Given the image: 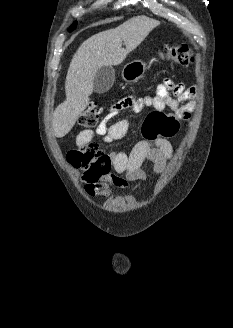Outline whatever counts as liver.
<instances>
[{
    "mask_svg": "<svg viewBox=\"0 0 233 328\" xmlns=\"http://www.w3.org/2000/svg\"><path fill=\"white\" fill-rule=\"evenodd\" d=\"M158 25L146 17H135L117 28L91 36L80 45L67 72L66 99L53 113L52 126L57 138L68 134L86 109L97 71L103 66L121 64Z\"/></svg>",
    "mask_w": 233,
    "mask_h": 328,
    "instance_id": "obj_1",
    "label": "liver"
}]
</instances>
